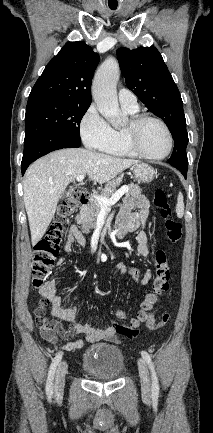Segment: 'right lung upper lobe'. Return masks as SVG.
Returning <instances> with one entry per match:
<instances>
[{"mask_svg":"<svg viewBox=\"0 0 213 433\" xmlns=\"http://www.w3.org/2000/svg\"><path fill=\"white\" fill-rule=\"evenodd\" d=\"M99 55L82 41L70 42L47 64L29 99L57 98L91 103V82Z\"/></svg>","mask_w":213,"mask_h":433,"instance_id":"obj_1","label":"right lung upper lobe"}]
</instances>
